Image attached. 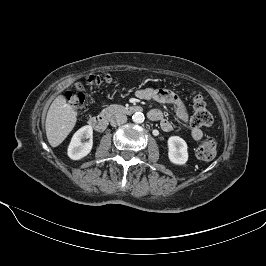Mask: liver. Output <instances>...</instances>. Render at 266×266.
<instances>
[{
	"label": "liver",
	"instance_id": "liver-1",
	"mask_svg": "<svg viewBox=\"0 0 266 266\" xmlns=\"http://www.w3.org/2000/svg\"><path fill=\"white\" fill-rule=\"evenodd\" d=\"M77 112L66 98L60 95L52 102L46 117V136L52 147L60 145L74 128Z\"/></svg>",
	"mask_w": 266,
	"mask_h": 266
}]
</instances>
